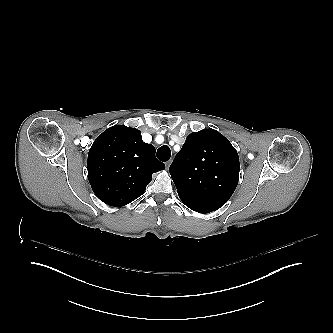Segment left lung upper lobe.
Segmentation results:
<instances>
[{
  "label": "left lung upper lobe",
  "instance_id": "1",
  "mask_svg": "<svg viewBox=\"0 0 333 333\" xmlns=\"http://www.w3.org/2000/svg\"><path fill=\"white\" fill-rule=\"evenodd\" d=\"M239 170L236 149L213 129L191 133L170 166L180 199L199 213L215 211L229 200Z\"/></svg>",
  "mask_w": 333,
  "mask_h": 333
}]
</instances>
